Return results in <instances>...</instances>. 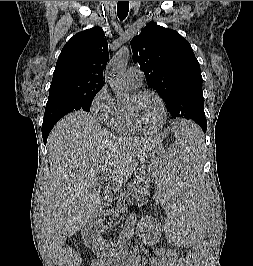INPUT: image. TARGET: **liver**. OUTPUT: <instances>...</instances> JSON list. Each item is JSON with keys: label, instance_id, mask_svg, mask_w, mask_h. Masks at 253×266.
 Here are the masks:
<instances>
[{"label": "liver", "instance_id": "6515ba94", "mask_svg": "<svg viewBox=\"0 0 253 266\" xmlns=\"http://www.w3.org/2000/svg\"><path fill=\"white\" fill-rule=\"evenodd\" d=\"M163 138L121 137L84 112L59 120L47 140L49 174L42 189L39 224L52 260L67 238L103 217L102 188L109 178L120 192L143 157Z\"/></svg>", "mask_w": 253, "mask_h": 266}]
</instances>
